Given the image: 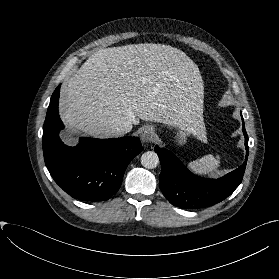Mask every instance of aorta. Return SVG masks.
Listing matches in <instances>:
<instances>
[{
  "label": "aorta",
  "instance_id": "obj_1",
  "mask_svg": "<svg viewBox=\"0 0 279 279\" xmlns=\"http://www.w3.org/2000/svg\"><path fill=\"white\" fill-rule=\"evenodd\" d=\"M141 164L147 169H153L159 164V157L153 151H147L141 156Z\"/></svg>",
  "mask_w": 279,
  "mask_h": 279
}]
</instances>
